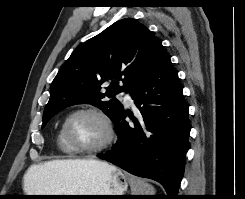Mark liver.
I'll list each match as a JSON object with an SVG mask.
<instances>
[{
	"instance_id": "1",
	"label": "liver",
	"mask_w": 245,
	"mask_h": 199,
	"mask_svg": "<svg viewBox=\"0 0 245 199\" xmlns=\"http://www.w3.org/2000/svg\"><path fill=\"white\" fill-rule=\"evenodd\" d=\"M93 162L94 159H68L32 165L24 176V186L28 192L41 190L47 193H65L69 189L63 187L61 180Z\"/></svg>"
}]
</instances>
